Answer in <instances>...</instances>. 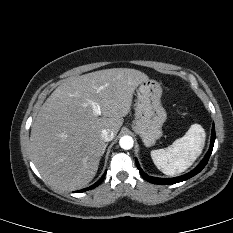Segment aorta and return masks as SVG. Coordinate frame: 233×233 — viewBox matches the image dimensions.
<instances>
[{"label":"aorta","mask_w":233,"mask_h":233,"mask_svg":"<svg viewBox=\"0 0 233 233\" xmlns=\"http://www.w3.org/2000/svg\"><path fill=\"white\" fill-rule=\"evenodd\" d=\"M119 145L124 150H129L133 147L134 141L131 136H123L119 140Z\"/></svg>","instance_id":"aorta-1"}]
</instances>
